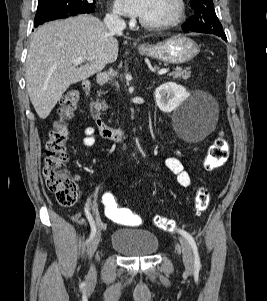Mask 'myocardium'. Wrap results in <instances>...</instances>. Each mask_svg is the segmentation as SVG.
I'll list each match as a JSON object with an SVG mask.
<instances>
[{"label": "myocardium", "instance_id": "1", "mask_svg": "<svg viewBox=\"0 0 267 301\" xmlns=\"http://www.w3.org/2000/svg\"><path fill=\"white\" fill-rule=\"evenodd\" d=\"M176 11L172 18L163 22H148L143 19L139 20L141 26L152 30H166L177 26L184 18L186 4L184 0H175Z\"/></svg>", "mask_w": 267, "mask_h": 301}]
</instances>
